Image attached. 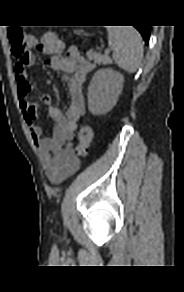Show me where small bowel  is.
Returning a JSON list of instances; mask_svg holds the SVG:
<instances>
[{"mask_svg":"<svg viewBox=\"0 0 184 292\" xmlns=\"http://www.w3.org/2000/svg\"><path fill=\"white\" fill-rule=\"evenodd\" d=\"M36 44V40L30 38L29 47H35ZM33 62V56L28 52V59L25 62L17 60L14 66L19 104L34 144L41 153L42 165L49 180L59 183L80 167L72 143L77 123L85 110L83 86L95 65L82 57L76 47H70L64 55H53L45 61L47 67L65 74L69 103L63 112L60 107L51 103L49 94L40 95L37 102L29 100L30 84L27 67ZM40 104L47 106L48 115L54 121V130L50 137L45 136L41 127L36 124Z\"/></svg>","mask_w":184,"mask_h":292,"instance_id":"obj_1","label":"small bowel"}]
</instances>
